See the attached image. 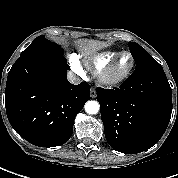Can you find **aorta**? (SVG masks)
<instances>
[{"instance_id": "obj_1", "label": "aorta", "mask_w": 178, "mask_h": 178, "mask_svg": "<svg viewBox=\"0 0 178 178\" xmlns=\"http://www.w3.org/2000/svg\"><path fill=\"white\" fill-rule=\"evenodd\" d=\"M85 111L88 114H96L99 111V103L97 101H88L85 104Z\"/></svg>"}]
</instances>
